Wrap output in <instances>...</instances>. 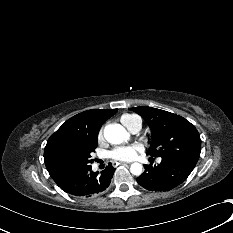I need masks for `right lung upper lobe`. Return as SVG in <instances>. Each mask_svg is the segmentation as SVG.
<instances>
[{"label":"right lung upper lobe","mask_w":233,"mask_h":233,"mask_svg":"<svg viewBox=\"0 0 233 233\" xmlns=\"http://www.w3.org/2000/svg\"><path fill=\"white\" fill-rule=\"evenodd\" d=\"M117 110L91 109L81 112L68 119L50 136L44 150V160L50 176L57 185L69 178L63 175L58 166L59 154L66 148L98 141V133L102 124Z\"/></svg>","instance_id":"cb5924a9"}]
</instances>
